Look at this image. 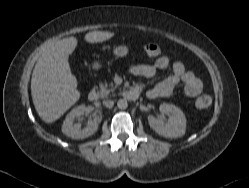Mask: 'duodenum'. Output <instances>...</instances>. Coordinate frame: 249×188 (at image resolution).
<instances>
[{"instance_id": "duodenum-1", "label": "duodenum", "mask_w": 249, "mask_h": 188, "mask_svg": "<svg viewBox=\"0 0 249 188\" xmlns=\"http://www.w3.org/2000/svg\"><path fill=\"white\" fill-rule=\"evenodd\" d=\"M139 93L140 91L136 88H131V89H128L126 92H125V97L128 99V100H135L138 98L139 96ZM99 98V92L97 90H92L89 92L88 94V99L90 102H95L97 101Z\"/></svg>"}]
</instances>
